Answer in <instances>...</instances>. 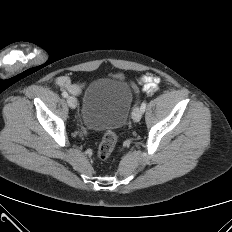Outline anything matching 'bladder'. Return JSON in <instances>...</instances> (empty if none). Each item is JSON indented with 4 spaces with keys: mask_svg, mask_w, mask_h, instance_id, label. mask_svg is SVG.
Instances as JSON below:
<instances>
[{
    "mask_svg": "<svg viewBox=\"0 0 232 232\" xmlns=\"http://www.w3.org/2000/svg\"><path fill=\"white\" fill-rule=\"evenodd\" d=\"M132 91L127 83L115 79H97L84 91L81 117L92 130L118 129L127 121Z\"/></svg>",
    "mask_w": 232,
    "mask_h": 232,
    "instance_id": "31cf9c89",
    "label": "bladder"
}]
</instances>
